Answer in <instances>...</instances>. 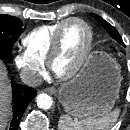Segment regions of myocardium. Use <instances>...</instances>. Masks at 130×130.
<instances>
[{
	"mask_svg": "<svg viewBox=\"0 0 130 130\" xmlns=\"http://www.w3.org/2000/svg\"><path fill=\"white\" fill-rule=\"evenodd\" d=\"M72 22H78L86 28L87 33H88L87 44H86L85 50H84L83 54L81 55L80 59L78 60V62L68 72L59 73L54 69V62H55L56 58L58 57L60 50H61V38H62L63 31L66 28V26ZM92 44H93V31L88 22H86L85 20L78 18V17H73V18H69V19L65 20L54 35L53 42H52V45H51V48H50V51H49V54H48V57L46 60L49 71L53 74L54 77H56L59 80L71 79L85 65V63L90 55V52L92 49Z\"/></svg>",
	"mask_w": 130,
	"mask_h": 130,
	"instance_id": "1",
	"label": "myocardium"
}]
</instances>
